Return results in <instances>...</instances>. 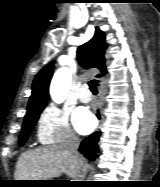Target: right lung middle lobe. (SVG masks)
Returning a JSON list of instances; mask_svg holds the SVG:
<instances>
[{"label":"right lung middle lobe","instance_id":"dd1d6c3e","mask_svg":"<svg viewBox=\"0 0 160 187\" xmlns=\"http://www.w3.org/2000/svg\"><path fill=\"white\" fill-rule=\"evenodd\" d=\"M41 112H42V110L27 113V115L25 117V120H24L21 135H20V138H19V144L20 145H23L24 142L27 140V138L30 135L34 125L36 124Z\"/></svg>","mask_w":160,"mask_h":187}]
</instances>
